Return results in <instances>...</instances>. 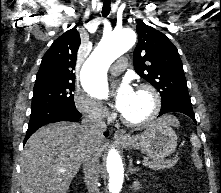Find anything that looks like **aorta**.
<instances>
[{"label": "aorta", "instance_id": "obj_1", "mask_svg": "<svg viewBox=\"0 0 221 193\" xmlns=\"http://www.w3.org/2000/svg\"><path fill=\"white\" fill-rule=\"evenodd\" d=\"M136 42V34L131 29L115 30L105 36L85 62L81 71L84 90L94 99L108 97L106 69L120 55L128 51ZM109 191L120 193L124 180L123 163L119 153L111 149L107 157Z\"/></svg>", "mask_w": 221, "mask_h": 193}]
</instances>
